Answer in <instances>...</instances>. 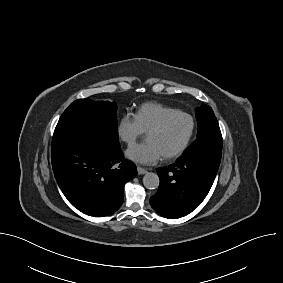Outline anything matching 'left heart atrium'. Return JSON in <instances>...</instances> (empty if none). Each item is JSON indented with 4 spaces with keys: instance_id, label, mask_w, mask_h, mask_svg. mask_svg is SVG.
<instances>
[{
    "instance_id": "39dd6f15",
    "label": "left heart atrium",
    "mask_w": 283,
    "mask_h": 283,
    "mask_svg": "<svg viewBox=\"0 0 283 283\" xmlns=\"http://www.w3.org/2000/svg\"><path fill=\"white\" fill-rule=\"evenodd\" d=\"M128 159L144 165L155 164L162 156L160 149L152 142L136 144L126 151Z\"/></svg>"
}]
</instances>
